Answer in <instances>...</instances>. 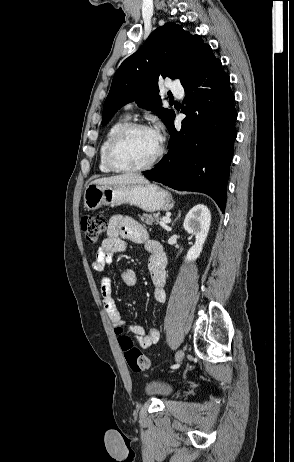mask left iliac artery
I'll list each match as a JSON object with an SVG mask.
<instances>
[{
	"label": "left iliac artery",
	"mask_w": 294,
	"mask_h": 462,
	"mask_svg": "<svg viewBox=\"0 0 294 462\" xmlns=\"http://www.w3.org/2000/svg\"><path fill=\"white\" fill-rule=\"evenodd\" d=\"M173 356H174V355H173ZM178 367H179V365H173V366H172L173 369H176V368H178Z\"/></svg>",
	"instance_id": "1"
}]
</instances>
